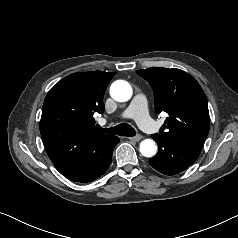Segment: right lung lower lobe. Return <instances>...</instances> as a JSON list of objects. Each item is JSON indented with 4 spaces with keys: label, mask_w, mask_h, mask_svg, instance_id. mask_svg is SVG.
I'll return each mask as SVG.
<instances>
[{
    "label": "right lung lower lobe",
    "mask_w": 238,
    "mask_h": 238,
    "mask_svg": "<svg viewBox=\"0 0 238 238\" xmlns=\"http://www.w3.org/2000/svg\"><path fill=\"white\" fill-rule=\"evenodd\" d=\"M119 141L118 137L113 138L112 141L100 151L98 158L88 169L78 171L73 175L65 177L72 181L82 183L90 182L99 178L110 166L113 149Z\"/></svg>",
    "instance_id": "1"
}]
</instances>
